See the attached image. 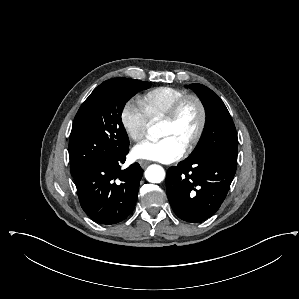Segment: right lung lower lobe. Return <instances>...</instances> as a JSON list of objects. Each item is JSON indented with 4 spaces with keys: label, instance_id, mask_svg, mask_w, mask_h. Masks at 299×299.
I'll use <instances>...</instances> for the list:
<instances>
[{
    "label": "right lung lower lobe",
    "instance_id": "obj_1",
    "mask_svg": "<svg viewBox=\"0 0 299 299\" xmlns=\"http://www.w3.org/2000/svg\"><path fill=\"white\" fill-rule=\"evenodd\" d=\"M127 154L128 149L74 177L81 207L100 224L120 222L134 209L143 170L138 163L121 170Z\"/></svg>",
    "mask_w": 299,
    "mask_h": 299
}]
</instances>
